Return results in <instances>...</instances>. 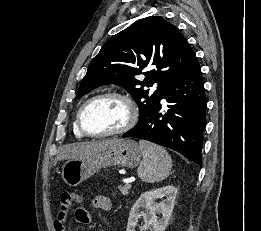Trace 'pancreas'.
I'll return each instance as SVG.
<instances>
[{
	"instance_id": "cf45deb5",
	"label": "pancreas",
	"mask_w": 261,
	"mask_h": 231,
	"mask_svg": "<svg viewBox=\"0 0 261 231\" xmlns=\"http://www.w3.org/2000/svg\"><path fill=\"white\" fill-rule=\"evenodd\" d=\"M130 188H131V186H127V185L118 186V189H119V191L121 192L122 195H127L129 193L128 191L130 190Z\"/></svg>"
}]
</instances>
